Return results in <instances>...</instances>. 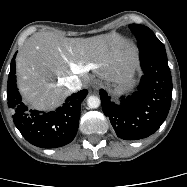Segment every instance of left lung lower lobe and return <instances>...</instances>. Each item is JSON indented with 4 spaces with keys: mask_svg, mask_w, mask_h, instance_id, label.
Here are the masks:
<instances>
[{
    "mask_svg": "<svg viewBox=\"0 0 187 187\" xmlns=\"http://www.w3.org/2000/svg\"><path fill=\"white\" fill-rule=\"evenodd\" d=\"M144 75L137 90L113 101L100 90L103 112L119 138L139 140L153 134L165 121L172 99V77L167 56L140 50Z\"/></svg>",
    "mask_w": 187,
    "mask_h": 187,
    "instance_id": "obj_1",
    "label": "left lung lower lobe"
}]
</instances>
